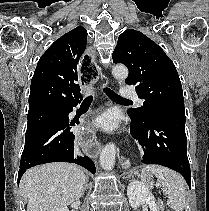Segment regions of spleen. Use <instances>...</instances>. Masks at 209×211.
Masks as SVG:
<instances>
[{"instance_id": "3e777b00", "label": "spleen", "mask_w": 209, "mask_h": 211, "mask_svg": "<svg viewBox=\"0 0 209 211\" xmlns=\"http://www.w3.org/2000/svg\"><path fill=\"white\" fill-rule=\"evenodd\" d=\"M147 170L157 178V185L167 196V205L174 211H183L186 206V185L182 176L158 165L148 166Z\"/></svg>"}]
</instances>
